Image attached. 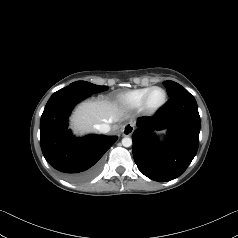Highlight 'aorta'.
Listing matches in <instances>:
<instances>
[{
  "mask_svg": "<svg viewBox=\"0 0 238 238\" xmlns=\"http://www.w3.org/2000/svg\"><path fill=\"white\" fill-rule=\"evenodd\" d=\"M122 145L124 147H130L132 145V139L130 137H124L122 139Z\"/></svg>",
  "mask_w": 238,
  "mask_h": 238,
  "instance_id": "aorta-1",
  "label": "aorta"
}]
</instances>
